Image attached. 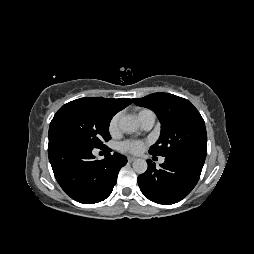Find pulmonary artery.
Masks as SVG:
<instances>
[{
    "instance_id": "pulmonary-artery-1",
    "label": "pulmonary artery",
    "mask_w": 254,
    "mask_h": 254,
    "mask_svg": "<svg viewBox=\"0 0 254 254\" xmlns=\"http://www.w3.org/2000/svg\"><path fill=\"white\" fill-rule=\"evenodd\" d=\"M140 126L143 130H150L154 124L155 116L153 113L142 114L138 117ZM160 163H163L165 159L163 157L160 158Z\"/></svg>"
}]
</instances>
